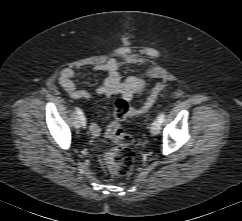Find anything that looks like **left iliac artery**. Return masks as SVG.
Instances as JSON below:
<instances>
[{
    "label": "left iliac artery",
    "mask_w": 242,
    "mask_h": 221,
    "mask_svg": "<svg viewBox=\"0 0 242 221\" xmlns=\"http://www.w3.org/2000/svg\"><path fill=\"white\" fill-rule=\"evenodd\" d=\"M164 118H165V113L163 112V113H161V114L159 115V117H158L159 122H160V123H163Z\"/></svg>",
    "instance_id": "obj_1"
}]
</instances>
